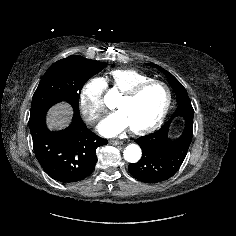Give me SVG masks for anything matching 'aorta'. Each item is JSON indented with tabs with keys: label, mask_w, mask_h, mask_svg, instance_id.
Wrapping results in <instances>:
<instances>
[{
	"label": "aorta",
	"mask_w": 236,
	"mask_h": 236,
	"mask_svg": "<svg viewBox=\"0 0 236 236\" xmlns=\"http://www.w3.org/2000/svg\"><path fill=\"white\" fill-rule=\"evenodd\" d=\"M141 154V149L136 144H129L123 152L124 159L130 163L138 162L141 158Z\"/></svg>",
	"instance_id": "762f6f07"
}]
</instances>
